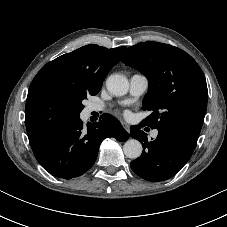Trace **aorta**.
<instances>
[{
    "mask_svg": "<svg viewBox=\"0 0 227 227\" xmlns=\"http://www.w3.org/2000/svg\"><path fill=\"white\" fill-rule=\"evenodd\" d=\"M107 90L115 96H123L128 92L129 84L127 79L119 74L110 75L106 80ZM126 157L137 159L142 153V145L136 139H129L123 146Z\"/></svg>",
    "mask_w": 227,
    "mask_h": 227,
    "instance_id": "aorta-1",
    "label": "aorta"
}]
</instances>
